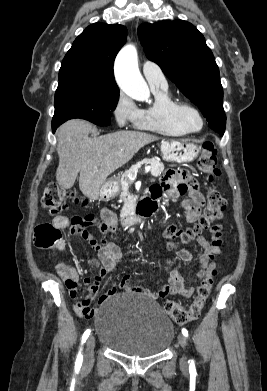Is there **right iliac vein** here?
I'll return each mask as SVG.
<instances>
[{
  "mask_svg": "<svg viewBox=\"0 0 267 391\" xmlns=\"http://www.w3.org/2000/svg\"><path fill=\"white\" fill-rule=\"evenodd\" d=\"M95 347V338L91 335L86 343L85 355H84V366L91 365L93 361V353Z\"/></svg>",
  "mask_w": 267,
  "mask_h": 391,
  "instance_id": "right-iliac-vein-1",
  "label": "right iliac vein"
}]
</instances>
